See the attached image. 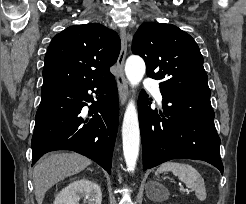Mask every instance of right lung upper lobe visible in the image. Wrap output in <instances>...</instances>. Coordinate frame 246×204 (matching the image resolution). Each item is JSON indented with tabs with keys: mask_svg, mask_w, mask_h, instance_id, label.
Masks as SVG:
<instances>
[{
	"mask_svg": "<svg viewBox=\"0 0 246 204\" xmlns=\"http://www.w3.org/2000/svg\"><path fill=\"white\" fill-rule=\"evenodd\" d=\"M120 52V38L94 23L70 26L51 41L45 56L42 90L111 77L109 68Z\"/></svg>",
	"mask_w": 246,
	"mask_h": 204,
	"instance_id": "1",
	"label": "right lung upper lobe"
}]
</instances>
